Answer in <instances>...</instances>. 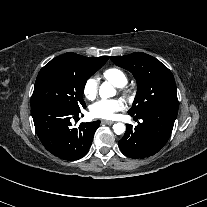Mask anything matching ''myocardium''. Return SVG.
I'll return each instance as SVG.
<instances>
[{"label": "myocardium", "mask_w": 207, "mask_h": 207, "mask_svg": "<svg viewBox=\"0 0 207 207\" xmlns=\"http://www.w3.org/2000/svg\"><path fill=\"white\" fill-rule=\"evenodd\" d=\"M123 96L127 101L132 102L134 100L135 94L133 91L126 89L123 91Z\"/></svg>", "instance_id": "myocardium-1"}]
</instances>
